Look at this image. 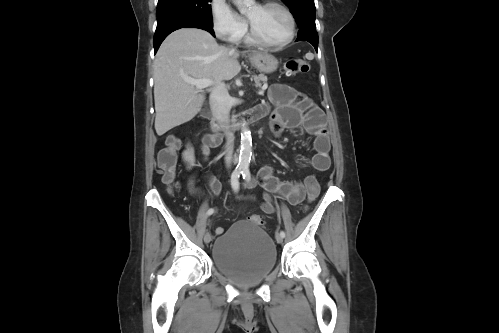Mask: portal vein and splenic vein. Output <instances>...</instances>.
<instances>
[{
  "mask_svg": "<svg viewBox=\"0 0 499 333\" xmlns=\"http://www.w3.org/2000/svg\"><path fill=\"white\" fill-rule=\"evenodd\" d=\"M184 81L186 83H189L191 85H194L196 89L202 90L207 87H210L214 84V82L211 79H192V78H185ZM267 89V84H265L262 87V90L259 92V94H263L264 91Z\"/></svg>",
  "mask_w": 499,
  "mask_h": 333,
  "instance_id": "18ae733b",
  "label": "portal vein and splenic vein"
}]
</instances>
